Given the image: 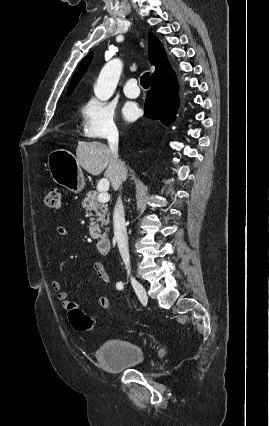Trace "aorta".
Returning a JSON list of instances; mask_svg holds the SVG:
<instances>
[{"label": "aorta", "mask_w": 269, "mask_h": 426, "mask_svg": "<svg viewBox=\"0 0 269 426\" xmlns=\"http://www.w3.org/2000/svg\"><path fill=\"white\" fill-rule=\"evenodd\" d=\"M122 67L119 59H113L103 67L94 86V94L98 99L105 101L112 96L122 73Z\"/></svg>", "instance_id": "obj_1"}]
</instances>
